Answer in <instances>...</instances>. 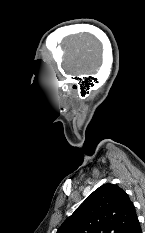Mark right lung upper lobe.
<instances>
[{"instance_id":"right-lung-upper-lobe-1","label":"right lung upper lobe","mask_w":145,"mask_h":233,"mask_svg":"<svg viewBox=\"0 0 145 233\" xmlns=\"http://www.w3.org/2000/svg\"><path fill=\"white\" fill-rule=\"evenodd\" d=\"M136 220L135 207L126 192L106 183L86 198L57 233H129Z\"/></svg>"}]
</instances>
